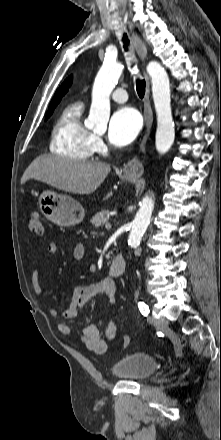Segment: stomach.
Returning a JSON list of instances; mask_svg holds the SVG:
<instances>
[{"mask_svg":"<svg viewBox=\"0 0 221 440\" xmlns=\"http://www.w3.org/2000/svg\"><path fill=\"white\" fill-rule=\"evenodd\" d=\"M125 178L130 182L137 180L131 173H125ZM39 207L48 220L62 227L78 224L85 216L84 208L78 201L51 190L40 194Z\"/></svg>","mask_w":221,"mask_h":440,"instance_id":"1","label":"stomach"}]
</instances>
